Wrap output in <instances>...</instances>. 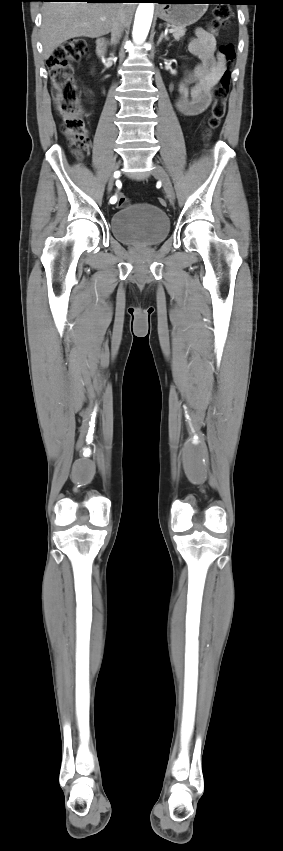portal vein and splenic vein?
Segmentation results:
<instances>
[{
  "instance_id": "obj_1",
  "label": "portal vein and splenic vein",
  "mask_w": 283,
  "mask_h": 851,
  "mask_svg": "<svg viewBox=\"0 0 283 851\" xmlns=\"http://www.w3.org/2000/svg\"><path fill=\"white\" fill-rule=\"evenodd\" d=\"M102 20H104V18H102ZM169 32H170V33H172V32H173V29H170V30H169Z\"/></svg>"
}]
</instances>
